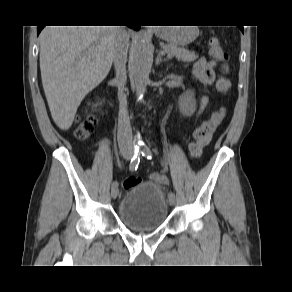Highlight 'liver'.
<instances>
[{
  "mask_svg": "<svg viewBox=\"0 0 292 292\" xmlns=\"http://www.w3.org/2000/svg\"><path fill=\"white\" fill-rule=\"evenodd\" d=\"M118 27L46 26L40 33L43 89L60 129L71 127L84 97L108 75Z\"/></svg>",
  "mask_w": 292,
  "mask_h": 292,
  "instance_id": "6515ba94",
  "label": "liver"
}]
</instances>
